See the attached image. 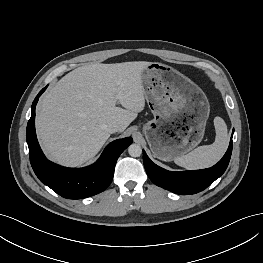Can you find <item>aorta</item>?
<instances>
[{
    "mask_svg": "<svg viewBox=\"0 0 263 263\" xmlns=\"http://www.w3.org/2000/svg\"><path fill=\"white\" fill-rule=\"evenodd\" d=\"M128 153L132 157H139L142 154V148L139 144H131L128 147Z\"/></svg>",
    "mask_w": 263,
    "mask_h": 263,
    "instance_id": "762f6f07",
    "label": "aorta"
}]
</instances>
